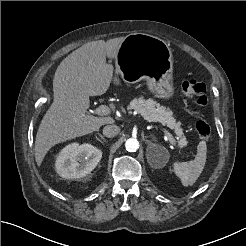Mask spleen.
<instances>
[{"label": "spleen", "mask_w": 246, "mask_h": 246, "mask_svg": "<svg viewBox=\"0 0 246 246\" xmlns=\"http://www.w3.org/2000/svg\"><path fill=\"white\" fill-rule=\"evenodd\" d=\"M206 153V142L201 141L197 146V154L193 161L174 163V171L184 186H191L197 181L206 163Z\"/></svg>", "instance_id": "obj_1"}]
</instances>
